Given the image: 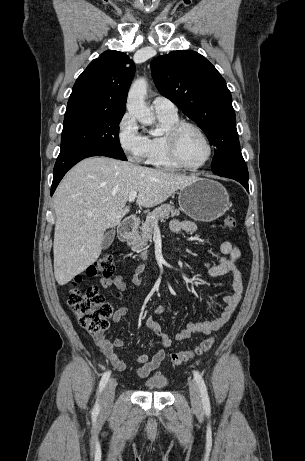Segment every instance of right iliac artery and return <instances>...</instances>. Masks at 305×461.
<instances>
[{
    "mask_svg": "<svg viewBox=\"0 0 305 461\" xmlns=\"http://www.w3.org/2000/svg\"><path fill=\"white\" fill-rule=\"evenodd\" d=\"M110 374H111L110 371H107V372H105L103 374V376L101 378V381H100V384H99V394H101V392L103 391L106 383L108 382V380L110 378ZM99 409H100V400L98 398L97 401H96V404L94 406V409H93V414L97 415L99 413Z\"/></svg>",
    "mask_w": 305,
    "mask_h": 461,
    "instance_id": "1",
    "label": "right iliac artery"
}]
</instances>
